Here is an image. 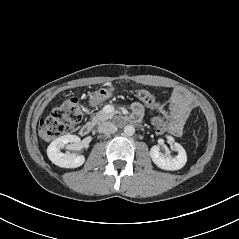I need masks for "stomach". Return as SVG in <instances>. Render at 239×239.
Masks as SVG:
<instances>
[{
	"instance_id": "stomach-1",
	"label": "stomach",
	"mask_w": 239,
	"mask_h": 239,
	"mask_svg": "<svg viewBox=\"0 0 239 239\" xmlns=\"http://www.w3.org/2000/svg\"><path fill=\"white\" fill-rule=\"evenodd\" d=\"M112 96L111 91L105 88H101L95 91L89 99V105L94 107L96 105L101 104L103 101L109 99Z\"/></svg>"
}]
</instances>
